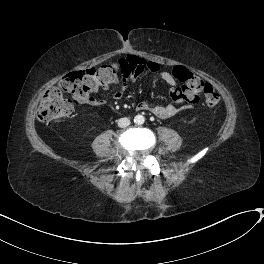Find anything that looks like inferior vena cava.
Masks as SVG:
<instances>
[{"label": "inferior vena cava", "mask_w": 264, "mask_h": 264, "mask_svg": "<svg viewBox=\"0 0 264 264\" xmlns=\"http://www.w3.org/2000/svg\"><path fill=\"white\" fill-rule=\"evenodd\" d=\"M128 125H130V120L127 117L120 118L118 120L119 127L123 128V127H127Z\"/></svg>", "instance_id": "1"}]
</instances>
